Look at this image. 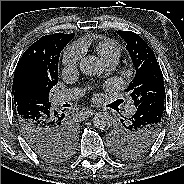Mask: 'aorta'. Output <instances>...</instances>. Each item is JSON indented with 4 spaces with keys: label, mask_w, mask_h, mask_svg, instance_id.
Wrapping results in <instances>:
<instances>
[{
    "label": "aorta",
    "mask_w": 184,
    "mask_h": 184,
    "mask_svg": "<svg viewBox=\"0 0 184 184\" xmlns=\"http://www.w3.org/2000/svg\"><path fill=\"white\" fill-rule=\"evenodd\" d=\"M79 68L88 76L98 75L103 72V67L95 56H86L81 59ZM113 117L109 112H98L93 117V125L99 130H107L112 126Z\"/></svg>",
    "instance_id": "aorta-1"
}]
</instances>
